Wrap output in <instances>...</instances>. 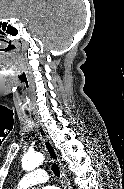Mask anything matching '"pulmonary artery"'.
<instances>
[{"label": "pulmonary artery", "mask_w": 124, "mask_h": 189, "mask_svg": "<svg viewBox=\"0 0 124 189\" xmlns=\"http://www.w3.org/2000/svg\"><path fill=\"white\" fill-rule=\"evenodd\" d=\"M48 179H49V176L44 170L37 169L23 176L19 180L17 188L27 189L33 185L45 183L48 181Z\"/></svg>", "instance_id": "pulmonary-artery-1"}]
</instances>
